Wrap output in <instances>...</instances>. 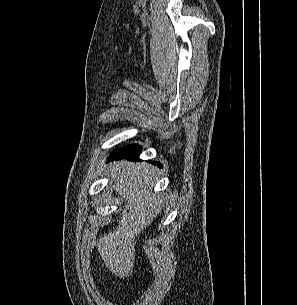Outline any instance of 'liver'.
I'll use <instances>...</instances> for the list:
<instances>
[{
  "label": "liver",
  "instance_id": "6515ba94",
  "mask_svg": "<svg viewBox=\"0 0 297 305\" xmlns=\"http://www.w3.org/2000/svg\"><path fill=\"white\" fill-rule=\"evenodd\" d=\"M156 168L147 163L122 161L113 171L114 187L125 203L119 226L97 243L102 260L120 278L131 275L135 260V238L160 212L159 196L150 193ZM135 241V242H134Z\"/></svg>",
  "mask_w": 297,
  "mask_h": 305
}]
</instances>
